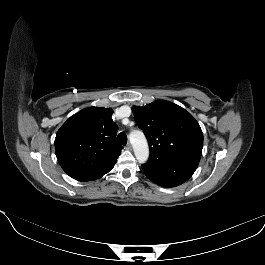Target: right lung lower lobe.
Wrapping results in <instances>:
<instances>
[{
    "mask_svg": "<svg viewBox=\"0 0 265 265\" xmlns=\"http://www.w3.org/2000/svg\"><path fill=\"white\" fill-rule=\"evenodd\" d=\"M101 176L95 174V175H79V176H74L72 178L78 180V181H91L100 178Z\"/></svg>",
    "mask_w": 265,
    "mask_h": 265,
    "instance_id": "obj_1",
    "label": "right lung lower lobe"
}]
</instances>
